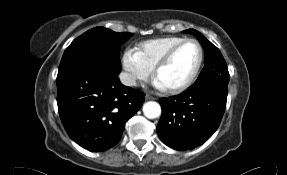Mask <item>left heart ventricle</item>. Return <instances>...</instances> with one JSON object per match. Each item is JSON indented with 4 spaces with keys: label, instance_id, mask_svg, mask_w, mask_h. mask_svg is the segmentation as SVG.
<instances>
[{
    "label": "left heart ventricle",
    "instance_id": "1",
    "mask_svg": "<svg viewBox=\"0 0 287 175\" xmlns=\"http://www.w3.org/2000/svg\"><path fill=\"white\" fill-rule=\"evenodd\" d=\"M199 59V49L195 43L181 47L171 62L159 73L158 80L164 87H175L184 83L193 73Z\"/></svg>",
    "mask_w": 287,
    "mask_h": 175
}]
</instances>
